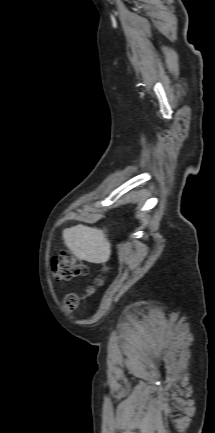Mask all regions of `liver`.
I'll return each instance as SVG.
<instances>
[{
    "instance_id": "6515ba94",
    "label": "liver",
    "mask_w": 215,
    "mask_h": 433,
    "mask_svg": "<svg viewBox=\"0 0 215 433\" xmlns=\"http://www.w3.org/2000/svg\"><path fill=\"white\" fill-rule=\"evenodd\" d=\"M105 230L77 225L63 230L66 246L80 260L100 264L109 260L111 244Z\"/></svg>"
}]
</instances>
